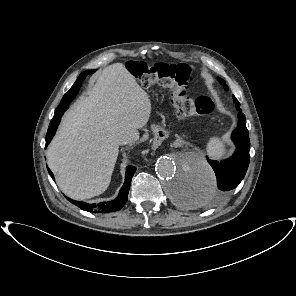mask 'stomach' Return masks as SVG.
I'll return each instance as SVG.
<instances>
[{"label":"stomach","mask_w":296,"mask_h":296,"mask_svg":"<svg viewBox=\"0 0 296 296\" xmlns=\"http://www.w3.org/2000/svg\"><path fill=\"white\" fill-rule=\"evenodd\" d=\"M168 137V130L163 125H156L152 129V138L150 147L157 151L163 145L164 140Z\"/></svg>","instance_id":"obj_1"}]
</instances>
